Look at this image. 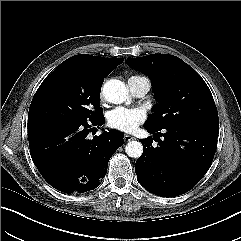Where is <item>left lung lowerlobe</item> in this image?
<instances>
[{"label": "left lung lower lobe", "mask_w": 241, "mask_h": 241, "mask_svg": "<svg viewBox=\"0 0 241 241\" xmlns=\"http://www.w3.org/2000/svg\"><path fill=\"white\" fill-rule=\"evenodd\" d=\"M144 127L156 134L140 140L143 153L135 171L141 185L162 197H175L192 189L212 163L219 127L178 124L163 128V134L162 129ZM153 140H158L157 147L152 146Z\"/></svg>", "instance_id": "obj_1"}]
</instances>
